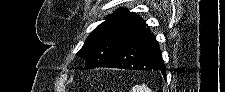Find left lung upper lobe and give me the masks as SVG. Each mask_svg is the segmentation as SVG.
<instances>
[{
	"label": "left lung upper lobe",
	"mask_w": 225,
	"mask_h": 92,
	"mask_svg": "<svg viewBox=\"0 0 225 92\" xmlns=\"http://www.w3.org/2000/svg\"><path fill=\"white\" fill-rule=\"evenodd\" d=\"M146 26L136 13L120 8L90 33L78 55L86 60V68H95L138 36Z\"/></svg>",
	"instance_id": "1"
}]
</instances>
